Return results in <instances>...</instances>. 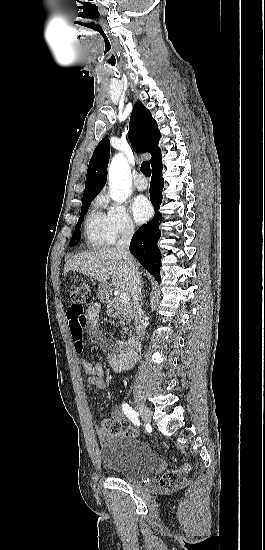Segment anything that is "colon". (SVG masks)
Returning a JSON list of instances; mask_svg holds the SVG:
<instances>
[{
    "label": "colon",
    "mask_w": 265,
    "mask_h": 550,
    "mask_svg": "<svg viewBox=\"0 0 265 550\" xmlns=\"http://www.w3.org/2000/svg\"><path fill=\"white\" fill-rule=\"evenodd\" d=\"M71 305L67 310L70 320L71 332L74 338L81 336L85 321V306L92 302L93 293L90 286L82 280H74L70 285ZM104 431L111 436L136 437L138 432L132 427H124L118 420L105 419L103 421ZM190 467L184 465L179 469L171 470L160 478V487L164 491H173L179 488Z\"/></svg>",
    "instance_id": "1"
}]
</instances>
